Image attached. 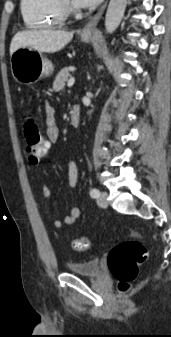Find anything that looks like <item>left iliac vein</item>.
Segmentation results:
<instances>
[{"mask_svg": "<svg viewBox=\"0 0 171 337\" xmlns=\"http://www.w3.org/2000/svg\"><path fill=\"white\" fill-rule=\"evenodd\" d=\"M107 197H108V193L103 191L101 192L98 200H97V203L100 207L102 208H106L107 205H108V202H107Z\"/></svg>", "mask_w": 171, "mask_h": 337, "instance_id": "obj_1", "label": "left iliac vein"}]
</instances>
